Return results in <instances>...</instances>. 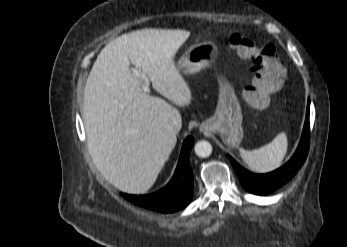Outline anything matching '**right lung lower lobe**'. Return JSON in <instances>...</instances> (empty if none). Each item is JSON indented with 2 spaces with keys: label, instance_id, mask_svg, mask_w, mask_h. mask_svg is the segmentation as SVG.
Returning <instances> with one entry per match:
<instances>
[{
  "label": "right lung lower lobe",
  "instance_id": "right-lung-lower-lobe-1",
  "mask_svg": "<svg viewBox=\"0 0 347 247\" xmlns=\"http://www.w3.org/2000/svg\"><path fill=\"white\" fill-rule=\"evenodd\" d=\"M193 143L191 136L184 141L176 171L164 188L149 195H121L134 204L162 213L176 212L187 206L193 196V171L189 165Z\"/></svg>",
  "mask_w": 347,
  "mask_h": 247
}]
</instances>
